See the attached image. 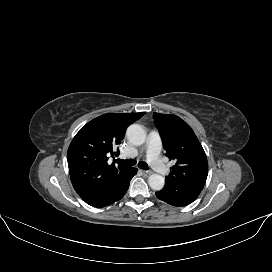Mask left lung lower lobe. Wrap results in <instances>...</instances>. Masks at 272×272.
Instances as JSON below:
<instances>
[{"label": "left lung lower lobe", "instance_id": "left-lung-lower-lobe-1", "mask_svg": "<svg viewBox=\"0 0 272 272\" xmlns=\"http://www.w3.org/2000/svg\"><path fill=\"white\" fill-rule=\"evenodd\" d=\"M203 186L202 184H170L165 182L164 188L156 192V196L170 205L186 206L196 200Z\"/></svg>", "mask_w": 272, "mask_h": 272}]
</instances>
